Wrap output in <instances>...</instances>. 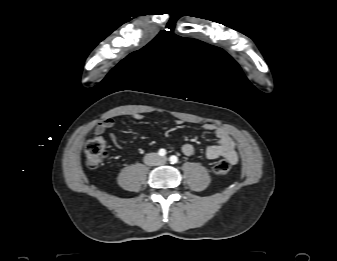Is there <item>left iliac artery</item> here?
Segmentation results:
<instances>
[{
	"mask_svg": "<svg viewBox=\"0 0 337 261\" xmlns=\"http://www.w3.org/2000/svg\"><path fill=\"white\" fill-rule=\"evenodd\" d=\"M169 160L172 164H175L178 162V158L175 155L170 156Z\"/></svg>",
	"mask_w": 337,
	"mask_h": 261,
	"instance_id": "left-iliac-artery-1",
	"label": "left iliac artery"
}]
</instances>
